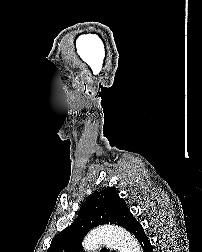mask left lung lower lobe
I'll return each mask as SVG.
<instances>
[{"label":"left lung lower lobe","instance_id":"0a47b994","mask_svg":"<svg viewBox=\"0 0 202 252\" xmlns=\"http://www.w3.org/2000/svg\"><path fill=\"white\" fill-rule=\"evenodd\" d=\"M130 233H132L139 241L144 252H153V248L148 240L144 229L138 222L132 226Z\"/></svg>","mask_w":202,"mask_h":252}]
</instances>
